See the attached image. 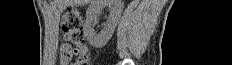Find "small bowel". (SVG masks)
<instances>
[{
    "label": "small bowel",
    "instance_id": "c3829d8e",
    "mask_svg": "<svg viewBox=\"0 0 232 65\" xmlns=\"http://www.w3.org/2000/svg\"><path fill=\"white\" fill-rule=\"evenodd\" d=\"M71 56L70 48L67 45L62 46V58Z\"/></svg>",
    "mask_w": 232,
    "mask_h": 65
}]
</instances>
